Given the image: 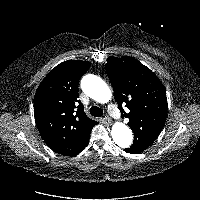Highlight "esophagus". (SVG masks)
Returning a JSON list of instances; mask_svg holds the SVG:
<instances>
[{
  "instance_id": "obj_1",
  "label": "esophagus",
  "mask_w": 200,
  "mask_h": 200,
  "mask_svg": "<svg viewBox=\"0 0 200 200\" xmlns=\"http://www.w3.org/2000/svg\"><path fill=\"white\" fill-rule=\"evenodd\" d=\"M104 120H105L106 122H108V123H111V119H110V117L107 116V115L104 117Z\"/></svg>"
}]
</instances>
